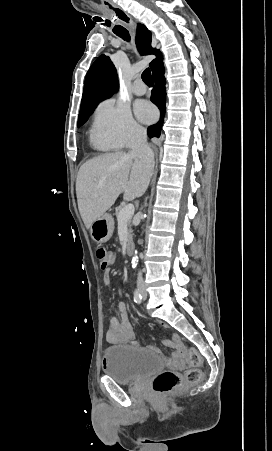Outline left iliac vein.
Here are the masks:
<instances>
[{"label":"left iliac vein","instance_id":"4c4485c4","mask_svg":"<svg viewBox=\"0 0 272 451\" xmlns=\"http://www.w3.org/2000/svg\"><path fill=\"white\" fill-rule=\"evenodd\" d=\"M142 295H143V299H146V291L144 286H142Z\"/></svg>","mask_w":272,"mask_h":451}]
</instances>
